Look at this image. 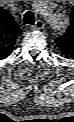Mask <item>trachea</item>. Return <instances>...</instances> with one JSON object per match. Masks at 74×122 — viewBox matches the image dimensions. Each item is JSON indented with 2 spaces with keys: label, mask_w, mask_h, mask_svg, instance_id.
Returning a JSON list of instances; mask_svg holds the SVG:
<instances>
[{
  "label": "trachea",
  "mask_w": 74,
  "mask_h": 122,
  "mask_svg": "<svg viewBox=\"0 0 74 122\" xmlns=\"http://www.w3.org/2000/svg\"><path fill=\"white\" fill-rule=\"evenodd\" d=\"M23 22L26 25H34V23H35V16H34L33 12L27 11L24 14Z\"/></svg>",
  "instance_id": "obj_1"
}]
</instances>
